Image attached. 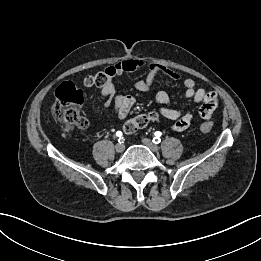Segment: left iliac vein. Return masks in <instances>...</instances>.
I'll return each mask as SVG.
<instances>
[{
  "label": "left iliac vein",
  "instance_id": "1",
  "mask_svg": "<svg viewBox=\"0 0 261 261\" xmlns=\"http://www.w3.org/2000/svg\"><path fill=\"white\" fill-rule=\"evenodd\" d=\"M142 143L144 144V145H146L151 151H153V152H158V150H159V147L156 145V144H154L150 139H148V138H143L142 139Z\"/></svg>",
  "mask_w": 261,
  "mask_h": 261
}]
</instances>
